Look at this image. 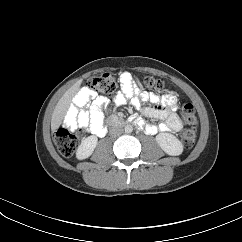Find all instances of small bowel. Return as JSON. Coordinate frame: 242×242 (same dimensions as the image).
Here are the masks:
<instances>
[{
  "instance_id": "small-bowel-1",
  "label": "small bowel",
  "mask_w": 242,
  "mask_h": 242,
  "mask_svg": "<svg viewBox=\"0 0 242 242\" xmlns=\"http://www.w3.org/2000/svg\"><path fill=\"white\" fill-rule=\"evenodd\" d=\"M121 89L116 95L115 104L117 107L124 106L127 102L142 113L151 118L162 119L165 122L160 125L145 124L142 119H136L135 123L145 129L147 134H155L158 131H178L181 128V121L176 114L177 97L168 93L157 95L153 92H140L133 85L126 74L120 75ZM149 101L154 106L141 107L143 102ZM108 105L104 98L96 97L95 93L88 89H82L74 99V105L69 109L64 124L71 130L78 126L96 136H103L105 127L103 108ZM81 107H88L80 109Z\"/></svg>"
}]
</instances>
